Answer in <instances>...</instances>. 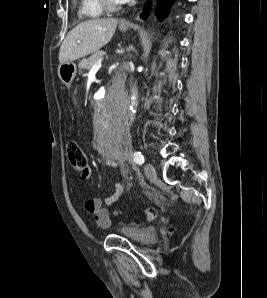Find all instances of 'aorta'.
Listing matches in <instances>:
<instances>
[{
    "mask_svg": "<svg viewBox=\"0 0 267 298\" xmlns=\"http://www.w3.org/2000/svg\"><path fill=\"white\" fill-rule=\"evenodd\" d=\"M136 105H137V90H136V88H133L132 96H131V106H130V110L133 114L136 112L135 111Z\"/></svg>",
    "mask_w": 267,
    "mask_h": 298,
    "instance_id": "obj_1",
    "label": "aorta"
}]
</instances>
